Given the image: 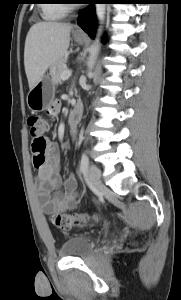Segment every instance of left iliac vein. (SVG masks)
<instances>
[{
	"label": "left iliac vein",
	"mask_w": 181,
	"mask_h": 300,
	"mask_svg": "<svg viewBox=\"0 0 181 300\" xmlns=\"http://www.w3.org/2000/svg\"><path fill=\"white\" fill-rule=\"evenodd\" d=\"M88 178L92 185L96 187L97 189H100L102 185L101 181V170L95 166V165H90L88 170H87Z\"/></svg>",
	"instance_id": "1"
}]
</instances>
